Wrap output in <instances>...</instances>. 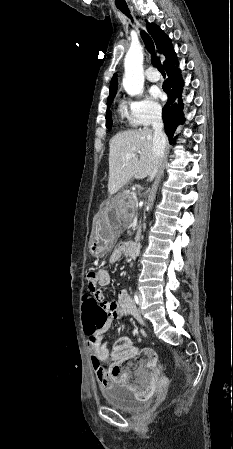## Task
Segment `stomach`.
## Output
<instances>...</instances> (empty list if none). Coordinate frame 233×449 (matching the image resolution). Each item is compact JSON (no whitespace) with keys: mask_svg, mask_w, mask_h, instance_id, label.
<instances>
[{"mask_svg":"<svg viewBox=\"0 0 233 449\" xmlns=\"http://www.w3.org/2000/svg\"><path fill=\"white\" fill-rule=\"evenodd\" d=\"M121 196L118 195L112 201H100L99 208L104 212H95L97 239L90 246V252L93 256L99 257L109 253L114 245V240L110 237L113 227L117 226L119 219L118 210L120 208Z\"/></svg>","mask_w":233,"mask_h":449,"instance_id":"stomach-1","label":"stomach"}]
</instances>
